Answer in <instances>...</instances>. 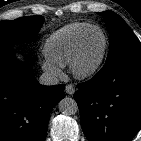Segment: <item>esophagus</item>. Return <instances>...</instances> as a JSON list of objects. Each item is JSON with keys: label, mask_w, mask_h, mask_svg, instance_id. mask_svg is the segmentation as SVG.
Wrapping results in <instances>:
<instances>
[{"label": "esophagus", "mask_w": 141, "mask_h": 141, "mask_svg": "<svg viewBox=\"0 0 141 141\" xmlns=\"http://www.w3.org/2000/svg\"><path fill=\"white\" fill-rule=\"evenodd\" d=\"M65 92L69 95H73L75 92V87L73 84H67L65 87Z\"/></svg>", "instance_id": "1"}]
</instances>
